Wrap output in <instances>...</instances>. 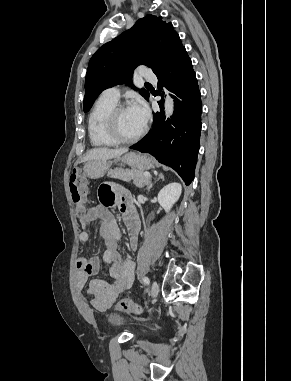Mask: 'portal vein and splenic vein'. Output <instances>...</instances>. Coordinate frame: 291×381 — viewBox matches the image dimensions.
Here are the masks:
<instances>
[{
    "label": "portal vein and splenic vein",
    "mask_w": 291,
    "mask_h": 381,
    "mask_svg": "<svg viewBox=\"0 0 291 381\" xmlns=\"http://www.w3.org/2000/svg\"><path fill=\"white\" fill-rule=\"evenodd\" d=\"M144 176L147 177V178H150V177H151V174L148 173V172H146V173H144Z\"/></svg>",
    "instance_id": "obj_1"
}]
</instances>
